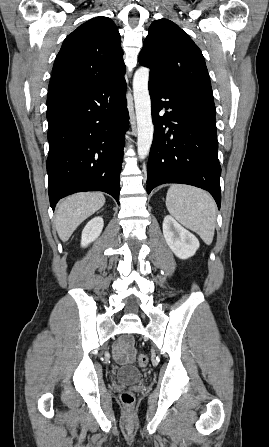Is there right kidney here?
<instances>
[{
    "mask_svg": "<svg viewBox=\"0 0 269 447\" xmlns=\"http://www.w3.org/2000/svg\"><path fill=\"white\" fill-rule=\"evenodd\" d=\"M103 225V218H99V216L93 218V220H90V222L85 225L81 235L82 247H86L88 243H91V241H94V239L100 235Z\"/></svg>",
    "mask_w": 269,
    "mask_h": 447,
    "instance_id": "ca27d5eb",
    "label": "right kidney"
}]
</instances>
